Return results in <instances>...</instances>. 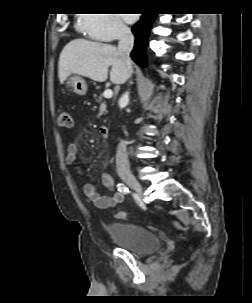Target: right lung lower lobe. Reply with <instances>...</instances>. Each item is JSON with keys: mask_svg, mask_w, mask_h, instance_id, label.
Wrapping results in <instances>:
<instances>
[{"mask_svg": "<svg viewBox=\"0 0 252 303\" xmlns=\"http://www.w3.org/2000/svg\"><path fill=\"white\" fill-rule=\"evenodd\" d=\"M156 16L157 14L154 13H145L132 28L135 35V45L131 57L141 67H146V45Z\"/></svg>", "mask_w": 252, "mask_h": 303, "instance_id": "obj_1", "label": "right lung lower lobe"}]
</instances>
